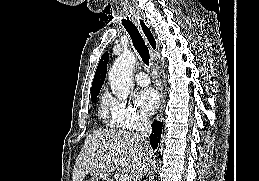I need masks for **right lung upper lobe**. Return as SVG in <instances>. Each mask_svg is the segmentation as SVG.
Segmentation results:
<instances>
[{"label": "right lung upper lobe", "mask_w": 259, "mask_h": 181, "mask_svg": "<svg viewBox=\"0 0 259 181\" xmlns=\"http://www.w3.org/2000/svg\"><path fill=\"white\" fill-rule=\"evenodd\" d=\"M108 52L104 53L98 64L94 80L91 88V98L99 94L100 89L104 83L107 71Z\"/></svg>", "instance_id": "1"}]
</instances>
